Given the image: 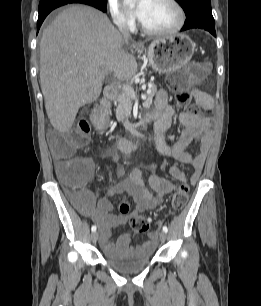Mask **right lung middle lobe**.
Returning <instances> with one entry per match:
<instances>
[{
    "mask_svg": "<svg viewBox=\"0 0 261 306\" xmlns=\"http://www.w3.org/2000/svg\"><path fill=\"white\" fill-rule=\"evenodd\" d=\"M88 1L100 4V5L105 6V7L107 5V0H88Z\"/></svg>",
    "mask_w": 261,
    "mask_h": 306,
    "instance_id": "obj_1",
    "label": "right lung middle lobe"
}]
</instances>
